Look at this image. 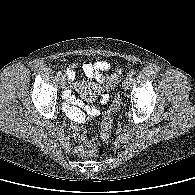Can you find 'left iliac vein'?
<instances>
[{
    "label": "left iliac vein",
    "instance_id": "4c4485c4",
    "mask_svg": "<svg viewBox=\"0 0 195 195\" xmlns=\"http://www.w3.org/2000/svg\"><path fill=\"white\" fill-rule=\"evenodd\" d=\"M130 86V81L128 79H125L122 83V87L124 90H127Z\"/></svg>",
    "mask_w": 195,
    "mask_h": 195
}]
</instances>
